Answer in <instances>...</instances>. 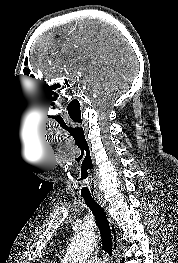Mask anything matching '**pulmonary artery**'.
Returning <instances> with one entry per match:
<instances>
[{
	"label": "pulmonary artery",
	"instance_id": "e3ab8cb5",
	"mask_svg": "<svg viewBox=\"0 0 178 263\" xmlns=\"http://www.w3.org/2000/svg\"><path fill=\"white\" fill-rule=\"evenodd\" d=\"M87 263H104V261L99 256H91L87 259Z\"/></svg>",
	"mask_w": 178,
	"mask_h": 263
}]
</instances>
